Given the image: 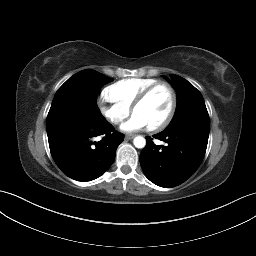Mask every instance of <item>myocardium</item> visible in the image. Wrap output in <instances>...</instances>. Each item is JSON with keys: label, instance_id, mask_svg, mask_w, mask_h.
Here are the masks:
<instances>
[{"label": "myocardium", "instance_id": "obj_1", "mask_svg": "<svg viewBox=\"0 0 256 256\" xmlns=\"http://www.w3.org/2000/svg\"><path fill=\"white\" fill-rule=\"evenodd\" d=\"M159 87H166L170 94H171V106L170 109L167 113V115L165 116V118L163 120H161L160 122H158L155 125L149 126L148 128L152 131H157V130H161L163 128H165L170 121L172 120L176 107H177V94L175 89L173 88V86L167 82H157L151 86H149L148 88H146L138 97L137 99L134 101L133 105H132V112L141 104H143L148 97L152 94V92L154 90H156Z\"/></svg>", "mask_w": 256, "mask_h": 256}]
</instances>
